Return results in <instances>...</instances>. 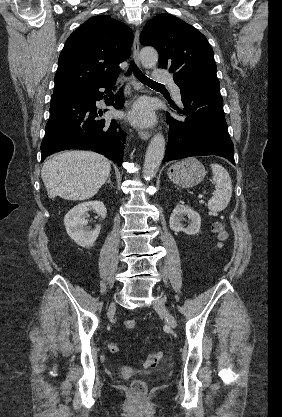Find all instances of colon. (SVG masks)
Returning a JSON list of instances; mask_svg holds the SVG:
<instances>
[{
  "label": "colon",
  "mask_w": 282,
  "mask_h": 417,
  "mask_svg": "<svg viewBox=\"0 0 282 417\" xmlns=\"http://www.w3.org/2000/svg\"><path fill=\"white\" fill-rule=\"evenodd\" d=\"M212 231L216 238L223 242L226 239L225 227L222 223L217 222L213 225ZM124 328L127 330H134L136 328V321L134 319H126L124 321ZM109 351L112 354H117L120 351V346L117 343H111L109 345ZM162 354L159 351H151L146 355L144 360V367L156 368L161 362ZM150 392V385L146 384L145 379H132L131 380V403H148Z\"/></svg>",
  "instance_id": "obj_1"
}]
</instances>
